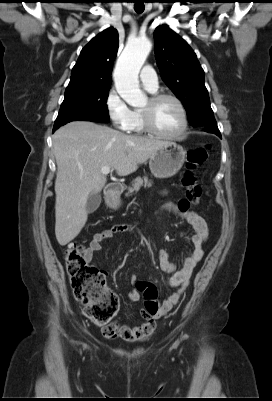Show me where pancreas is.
Returning <instances> with one entry per match:
<instances>
[{
    "label": "pancreas",
    "mask_w": 272,
    "mask_h": 401,
    "mask_svg": "<svg viewBox=\"0 0 272 401\" xmlns=\"http://www.w3.org/2000/svg\"><path fill=\"white\" fill-rule=\"evenodd\" d=\"M142 186H144L145 188H150L152 186V181L148 180L146 176L143 178H135L132 181V185L128 187V192L125 194V196L128 197L133 194V192H138Z\"/></svg>",
    "instance_id": "cf45deb5"
}]
</instances>
